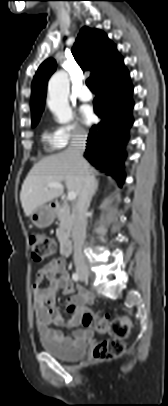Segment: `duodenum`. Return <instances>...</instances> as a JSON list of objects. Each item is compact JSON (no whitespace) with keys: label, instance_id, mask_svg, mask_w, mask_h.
<instances>
[{"label":"duodenum","instance_id":"duodenum-1","mask_svg":"<svg viewBox=\"0 0 168 406\" xmlns=\"http://www.w3.org/2000/svg\"><path fill=\"white\" fill-rule=\"evenodd\" d=\"M52 207H54V208L58 207V202L53 201ZM60 248H61V253L64 256H69L72 253V238L70 235H65V236L61 237Z\"/></svg>","mask_w":168,"mask_h":406}]
</instances>
